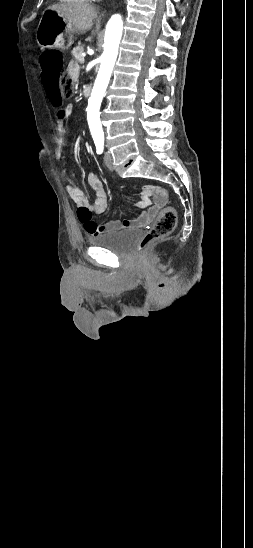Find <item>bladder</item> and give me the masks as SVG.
<instances>
[{"label":"bladder","mask_w":253,"mask_h":548,"mask_svg":"<svg viewBox=\"0 0 253 548\" xmlns=\"http://www.w3.org/2000/svg\"><path fill=\"white\" fill-rule=\"evenodd\" d=\"M138 229L109 231L89 238L90 244L106 248L116 254L127 253L140 237Z\"/></svg>","instance_id":"31cf9c89"}]
</instances>
